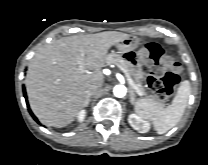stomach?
Here are the masks:
<instances>
[{
  "label": "stomach",
  "instance_id": "1",
  "mask_svg": "<svg viewBox=\"0 0 208 165\" xmlns=\"http://www.w3.org/2000/svg\"><path fill=\"white\" fill-rule=\"evenodd\" d=\"M139 44L140 42L138 39L128 37L118 42L117 47L119 51L123 54L125 51H131V50L135 51V49H137Z\"/></svg>",
  "mask_w": 208,
  "mask_h": 165
}]
</instances>
